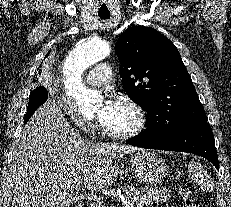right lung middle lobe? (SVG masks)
<instances>
[{
	"mask_svg": "<svg viewBox=\"0 0 231 207\" xmlns=\"http://www.w3.org/2000/svg\"><path fill=\"white\" fill-rule=\"evenodd\" d=\"M45 90L44 87H39L36 88L35 90H33L30 94V100H33L34 98H36L38 95H41V93ZM29 100V101H30Z\"/></svg>",
	"mask_w": 231,
	"mask_h": 207,
	"instance_id": "1",
	"label": "right lung middle lobe"
}]
</instances>
